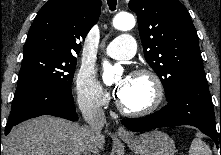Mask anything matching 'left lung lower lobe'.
I'll list each match as a JSON object with an SVG mask.
<instances>
[{
	"label": "left lung lower lobe",
	"mask_w": 221,
	"mask_h": 155,
	"mask_svg": "<svg viewBox=\"0 0 221 155\" xmlns=\"http://www.w3.org/2000/svg\"><path fill=\"white\" fill-rule=\"evenodd\" d=\"M215 114L207 81L192 82L182 87L168 104L143 118L124 119L122 124L132 131L191 125L210 136L218 146ZM221 146V135H220Z\"/></svg>",
	"instance_id": "0a47b994"
}]
</instances>
